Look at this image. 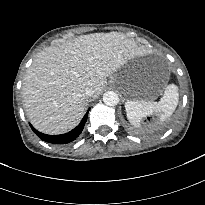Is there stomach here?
I'll list each match as a JSON object with an SVG mask.
<instances>
[{"label":"stomach","mask_w":205,"mask_h":205,"mask_svg":"<svg viewBox=\"0 0 205 205\" xmlns=\"http://www.w3.org/2000/svg\"><path fill=\"white\" fill-rule=\"evenodd\" d=\"M110 83L119 89L125 99L144 101L155 99L165 88L167 80L149 81L144 77L137 62L126 64L112 78Z\"/></svg>","instance_id":"stomach-1"}]
</instances>
